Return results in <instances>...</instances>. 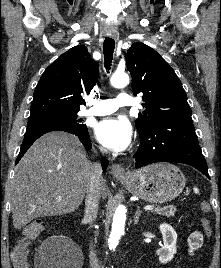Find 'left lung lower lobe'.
I'll return each mask as SVG.
<instances>
[{"instance_id": "1", "label": "left lung lower lobe", "mask_w": 221, "mask_h": 268, "mask_svg": "<svg viewBox=\"0 0 221 268\" xmlns=\"http://www.w3.org/2000/svg\"><path fill=\"white\" fill-rule=\"evenodd\" d=\"M140 136L135 168L155 162H178L195 167L210 179L207 164L190 119L162 118Z\"/></svg>"}]
</instances>
